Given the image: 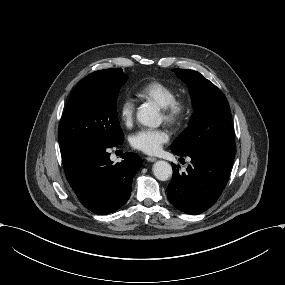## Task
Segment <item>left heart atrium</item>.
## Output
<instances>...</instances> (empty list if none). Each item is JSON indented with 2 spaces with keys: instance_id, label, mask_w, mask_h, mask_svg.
<instances>
[{
  "instance_id": "obj_1",
  "label": "left heart atrium",
  "mask_w": 285,
  "mask_h": 285,
  "mask_svg": "<svg viewBox=\"0 0 285 285\" xmlns=\"http://www.w3.org/2000/svg\"><path fill=\"white\" fill-rule=\"evenodd\" d=\"M169 134L164 128L142 129L131 136V144L134 148L145 153H156L160 146L167 142Z\"/></svg>"
}]
</instances>
